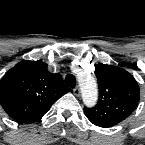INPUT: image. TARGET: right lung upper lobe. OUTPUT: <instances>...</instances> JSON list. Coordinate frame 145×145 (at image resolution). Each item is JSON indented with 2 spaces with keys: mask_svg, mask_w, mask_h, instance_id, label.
Wrapping results in <instances>:
<instances>
[{
  "mask_svg": "<svg viewBox=\"0 0 145 145\" xmlns=\"http://www.w3.org/2000/svg\"><path fill=\"white\" fill-rule=\"evenodd\" d=\"M70 91L60 74L47 70V64L22 61L0 81V104L16 121L33 123L41 120L52 104Z\"/></svg>",
  "mask_w": 145,
  "mask_h": 145,
  "instance_id": "cb5924a9",
  "label": "right lung upper lobe"
}]
</instances>
